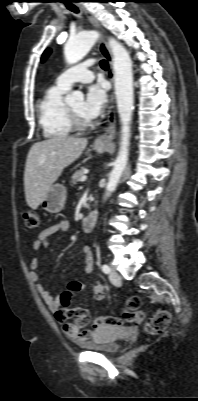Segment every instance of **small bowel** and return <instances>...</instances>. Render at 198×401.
Masks as SVG:
<instances>
[{
	"label": "small bowel",
	"mask_w": 198,
	"mask_h": 401,
	"mask_svg": "<svg viewBox=\"0 0 198 401\" xmlns=\"http://www.w3.org/2000/svg\"><path fill=\"white\" fill-rule=\"evenodd\" d=\"M70 224L67 220L58 221L43 231L40 232L37 239L33 243V249L37 251L40 248H46L48 246V241L51 236L59 232H67L69 230ZM82 252L85 257V271L90 273L92 270L93 264V255L90 246H84L82 248ZM38 267V258L34 256L30 262V275L32 279L37 284V290L41 295L42 299L48 306L49 310L53 313L55 320L62 325L63 333L71 340L77 343H85L91 339H94L99 335V332L105 326L98 324L95 320L91 322L89 328L84 329L85 326L90 324V320L88 324L82 326L79 323V316L74 315V321L69 322V317L71 313L67 310H63L60 308V299L58 297H54L40 282L39 275L37 273ZM77 285V289L75 292H78L83 289V284L80 282H74ZM93 298L96 301H102L105 298V291L102 283L95 279L93 282Z\"/></svg>",
	"instance_id": "small-bowel-1"
}]
</instances>
